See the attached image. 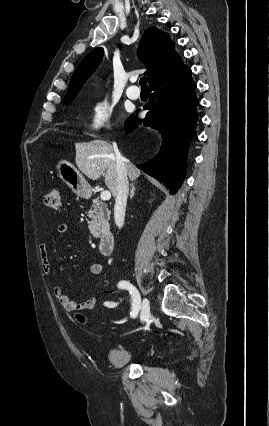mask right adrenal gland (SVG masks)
Wrapping results in <instances>:
<instances>
[{"label": "right adrenal gland", "mask_w": 269, "mask_h": 426, "mask_svg": "<svg viewBox=\"0 0 269 426\" xmlns=\"http://www.w3.org/2000/svg\"><path fill=\"white\" fill-rule=\"evenodd\" d=\"M134 195H135V186L134 184H131L130 198L132 199Z\"/></svg>", "instance_id": "1"}]
</instances>
